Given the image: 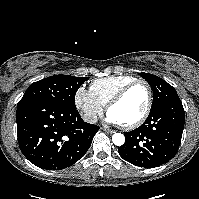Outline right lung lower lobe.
I'll use <instances>...</instances> for the list:
<instances>
[{"instance_id": "1", "label": "right lung lower lobe", "mask_w": 199, "mask_h": 199, "mask_svg": "<svg viewBox=\"0 0 199 199\" xmlns=\"http://www.w3.org/2000/svg\"><path fill=\"white\" fill-rule=\"evenodd\" d=\"M100 127L82 120L78 110L44 100L17 105V135L24 156L42 169L60 170L77 162Z\"/></svg>"}]
</instances>
